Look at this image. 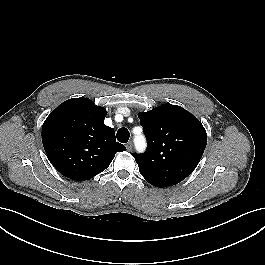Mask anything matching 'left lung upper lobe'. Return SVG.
Listing matches in <instances>:
<instances>
[{
    "instance_id": "5c2ea615",
    "label": "left lung upper lobe",
    "mask_w": 265,
    "mask_h": 265,
    "mask_svg": "<svg viewBox=\"0 0 265 265\" xmlns=\"http://www.w3.org/2000/svg\"><path fill=\"white\" fill-rule=\"evenodd\" d=\"M147 150L134 153L140 174L155 187L184 180L198 165L207 143L201 122L184 108L163 104L138 114Z\"/></svg>"
}]
</instances>
